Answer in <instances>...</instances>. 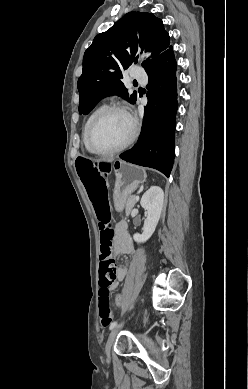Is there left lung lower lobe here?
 Returning <instances> with one entry per match:
<instances>
[{
	"instance_id": "1",
	"label": "left lung lower lobe",
	"mask_w": 248,
	"mask_h": 389,
	"mask_svg": "<svg viewBox=\"0 0 248 389\" xmlns=\"http://www.w3.org/2000/svg\"><path fill=\"white\" fill-rule=\"evenodd\" d=\"M177 63L172 46L162 52L146 71L149 82L148 103L143 126L135 146L120 158L140 166L159 170L169 177L174 161L177 112ZM157 101L158 107H154Z\"/></svg>"
}]
</instances>
